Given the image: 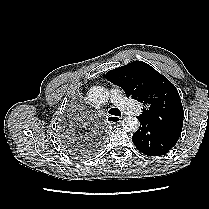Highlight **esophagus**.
I'll return each instance as SVG.
<instances>
[{"mask_svg":"<svg viewBox=\"0 0 209 209\" xmlns=\"http://www.w3.org/2000/svg\"><path fill=\"white\" fill-rule=\"evenodd\" d=\"M122 119H123V117L112 116V115H109L107 117L108 123H111V124H113V123H119V122H121Z\"/></svg>","mask_w":209,"mask_h":209,"instance_id":"esophagus-1","label":"esophagus"}]
</instances>
